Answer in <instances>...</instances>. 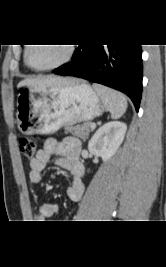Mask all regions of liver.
<instances>
[{
    "mask_svg": "<svg viewBox=\"0 0 166 267\" xmlns=\"http://www.w3.org/2000/svg\"><path fill=\"white\" fill-rule=\"evenodd\" d=\"M78 81L72 78H63V77H39L35 79H25L18 84V88L28 86V87H61L74 85Z\"/></svg>",
    "mask_w": 166,
    "mask_h": 267,
    "instance_id": "1",
    "label": "liver"
}]
</instances>
